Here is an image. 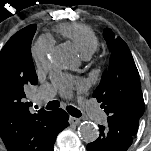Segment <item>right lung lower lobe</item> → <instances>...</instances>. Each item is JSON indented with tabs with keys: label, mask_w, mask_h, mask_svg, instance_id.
Here are the masks:
<instances>
[{
	"label": "right lung lower lobe",
	"mask_w": 151,
	"mask_h": 151,
	"mask_svg": "<svg viewBox=\"0 0 151 151\" xmlns=\"http://www.w3.org/2000/svg\"><path fill=\"white\" fill-rule=\"evenodd\" d=\"M68 114L63 109H57L51 112L49 122L47 124L48 132L51 138V150L53 151V145L59 132L68 126Z\"/></svg>",
	"instance_id": "1"
}]
</instances>
